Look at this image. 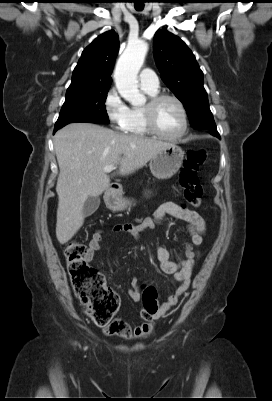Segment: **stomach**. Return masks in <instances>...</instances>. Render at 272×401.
<instances>
[{"instance_id": "0dacf381", "label": "stomach", "mask_w": 272, "mask_h": 401, "mask_svg": "<svg viewBox=\"0 0 272 401\" xmlns=\"http://www.w3.org/2000/svg\"><path fill=\"white\" fill-rule=\"evenodd\" d=\"M184 154V151L179 146L170 144L150 160L151 173L158 179L171 178L181 167ZM105 203L113 211H123L131 205V201L121 194L107 195Z\"/></svg>"}]
</instances>
